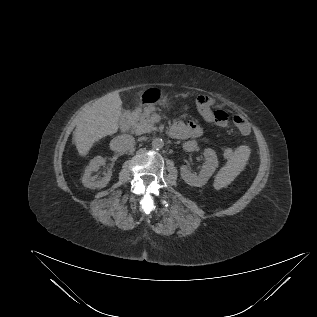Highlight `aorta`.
<instances>
[{
    "label": "aorta",
    "instance_id": "1",
    "mask_svg": "<svg viewBox=\"0 0 317 317\" xmlns=\"http://www.w3.org/2000/svg\"><path fill=\"white\" fill-rule=\"evenodd\" d=\"M152 147L153 149H156V150H159V149H162L163 146H164V141L162 138H154L152 140Z\"/></svg>",
    "mask_w": 317,
    "mask_h": 317
}]
</instances>
